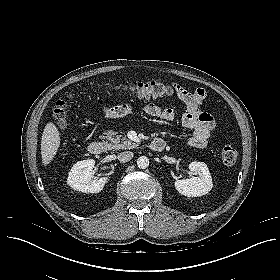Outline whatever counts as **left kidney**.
Here are the masks:
<instances>
[{"label":"left kidney","instance_id":"left-kidney-1","mask_svg":"<svg viewBox=\"0 0 280 280\" xmlns=\"http://www.w3.org/2000/svg\"><path fill=\"white\" fill-rule=\"evenodd\" d=\"M189 169L195 175L190 179L176 180V190L187 197H198L207 194L213 187L212 177L204 162H191Z\"/></svg>","mask_w":280,"mask_h":280}]
</instances>
